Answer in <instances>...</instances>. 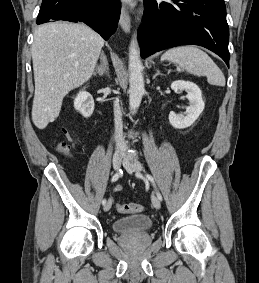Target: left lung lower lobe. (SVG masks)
<instances>
[{"label":"left lung lower lobe","instance_id":"left-lung-lower-lobe-1","mask_svg":"<svg viewBox=\"0 0 259 283\" xmlns=\"http://www.w3.org/2000/svg\"><path fill=\"white\" fill-rule=\"evenodd\" d=\"M144 0L139 28L141 57L179 46L199 45L218 54L229 67V28L224 0Z\"/></svg>","mask_w":259,"mask_h":283}]
</instances>
